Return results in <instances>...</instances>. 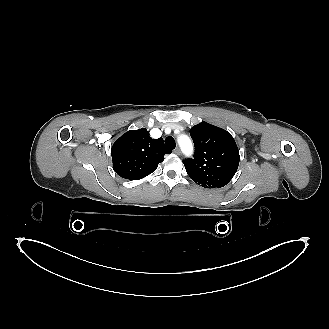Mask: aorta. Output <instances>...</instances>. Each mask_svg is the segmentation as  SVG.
<instances>
[{"label": "aorta", "mask_w": 329, "mask_h": 329, "mask_svg": "<svg viewBox=\"0 0 329 329\" xmlns=\"http://www.w3.org/2000/svg\"><path fill=\"white\" fill-rule=\"evenodd\" d=\"M178 143H179V146L181 147L182 151L185 154L192 153V151H193V144H192L191 139L187 135L181 134L178 137Z\"/></svg>", "instance_id": "1"}]
</instances>
